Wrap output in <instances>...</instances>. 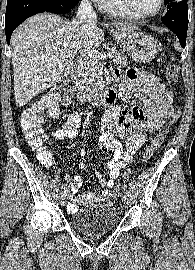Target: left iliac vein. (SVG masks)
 Here are the masks:
<instances>
[{
	"label": "left iliac vein",
	"mask_w": 195,
	"mask_h": 270,
	"mask_svg": "<svg viewBox=\"0 0 195 270\" xmlns=\"http://www.w3.org/2000/svg\"><path fill=\"white\" fill-rule=\"evenodd\" d=\"M122 202L125 208L129 207L130 205V199L127 195L122 196Z\"/></svg>",
	"instance_id": "left-iliac-vein-1"
}]
</instances>
